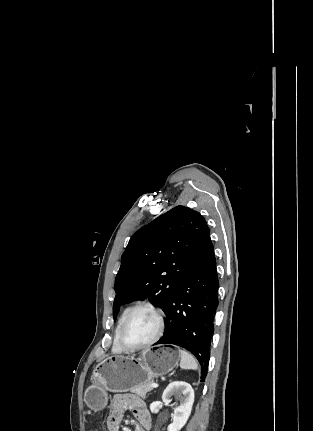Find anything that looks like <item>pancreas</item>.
I'll return each instance as SVG.
<instances>
[{
	"label": "pancreas",
	"instance_id": "cf45deb5",
	"mask_svg": "<svg viewBox=\"0 0 313 431\" xmlns=\"http://www.w3.org/2000/svg\"><path fill=\"white\" fill-rule=\"evenodd\" d=\"M151 390H152V387H150V383H145L143 385H139L132 388L131 392L137 394L138 396L144 399L146 397L147 392Z\"/></svg>",
	"mask_w": 313,
	"mask_h": 431
}]
</instances>
